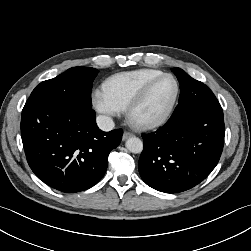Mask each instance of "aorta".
I'll use <instances>...</instances> for the list:
<instances>
[{
    "label": "aorta",
    "instance_id": "obj_1",
    "mask_svg": "<svg viewBox=\"0 0 251 251\" xmlns=\"http://www.w3.org/2000/svg\"><path fill=\"white\" fill-rule=\"evenodd\" d=\"M125 145L130 152L135 154L141 153L143 150V142L137 137H130Z\"/></svg>",
    "mask_w": 251,
    "mask_h": 251
}]
</instances>
